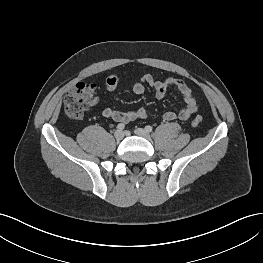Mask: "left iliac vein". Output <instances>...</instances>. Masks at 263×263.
I'll use <instances>...</instances> for the list:
<instances>
[{"mask_svg": "<svg viewBox=\"0 0 263 263\" xmlns=\"http://www.w3.org/2000/svg\"><path fill=\"white\" fill-rule=\"evenodd\" d=\"M134 133L136 134V135H138V136H141V137H144V138H146V139H150V134H149V132L148 131H146L145 129H143V128H136L135 130H134Z\"/></svg>", "mask_w": 263, "mask_h": 263, "instance_id": "obj_1", "label": "left iliac vein"}]
</instances>
